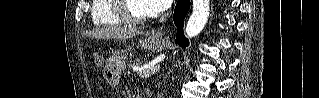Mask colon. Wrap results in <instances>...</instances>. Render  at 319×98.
<instances>
[{
    "label": "colon",
    "mask_w": 319,
    "mask_h": 98,
    "mask_svg": "<svg viewBox=\"0 0 319 98\" xmlns=\"http://www.w3.org/2000/svg\"><path fill=\"white\" fill-rule=\"evenodd\" d=\"M91 57L96 66L101 67L103 65V57L98 51H92Z\"/></svg>",
    "instance_id": "1"
}]
</instances>
